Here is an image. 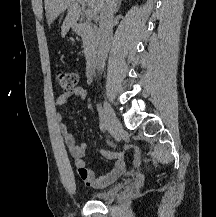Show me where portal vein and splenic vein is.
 <instances>
[{
  "instance_id": "obj_1",
  "label": "portal vein and splenic vein",
  "mask_w": 216,
  "mask_h": 217,
  "mask_svg": "<svg viewBox=\"0 0 216 217\" xmlns=\"http://www.w3.org/2000/svg\"><path fill=\"white\" fill-rule=\"evenodd\" d=\"M77 2L80 3L83 6L85 5V1L84 0H77ZM95 15L96 14L92 10H90V9L86 10V17H87V19H93L95 17Z\"/></svg>"
}]
</instances>
